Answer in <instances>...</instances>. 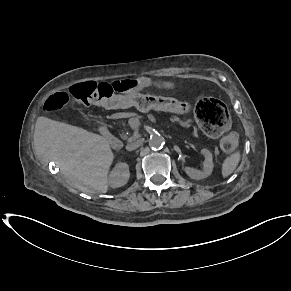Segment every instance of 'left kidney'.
<instances>
[{
  "instance_id": "left-kidney-1",
  "label": "left kidney",
  "mask_w": 291,
  "mask_h": 291,
  "mask_svg": "<svg viewBox=\"0 0 291 291\" xmlns=\"http://www.w3.org/2000/svg\"><path fill=\"white\" fill-rule=\"evenodd\" d=\"M201 154L205 157V161L203 162V170L199 171L194 168L185 167V173L192 179L200 180L204 179L211 175L213 171V159L212 154L208 149H202Z\"/></svg>"
}]
</instances>
